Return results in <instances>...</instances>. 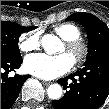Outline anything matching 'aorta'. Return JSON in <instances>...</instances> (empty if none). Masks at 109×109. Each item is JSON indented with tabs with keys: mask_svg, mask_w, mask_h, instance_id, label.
<instances>
[{
	"mask_svg": "<svg viewBox=\"0 0 109 109\" xmlns=\"http://www.w3.org/2000/svg\"><path fill=\"white\" fill-rule=\"evenodd\" d=\"M60 45L58 37L46 34L42 38V46L48 53H56ZM48 96L52 100H58L62 96V87L59 84H52L47 89Z\"/></svg>",
	"mask_w": 109,
	"mask_h": 109,
	"instance_id": "762f6f07",
	"label": "aorta"
}]
</instances>
